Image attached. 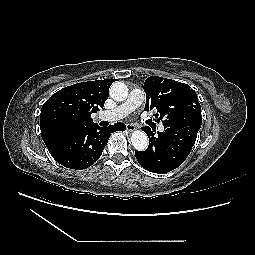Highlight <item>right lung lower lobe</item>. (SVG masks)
Returning <instances> with one entry per match:
<instances>
[{"instance_id": "right-lung-lower-lobe-1", "label": "right lung lower lobe", "mask_w": 255, "mask_h": 255, "mask_svg": "<svg viewBox=\"0 0 255 255\" xmlns=\"http://www.w3.org/2000/svg\"><path fill=\"white\" fill-rule=\"evenodd\" d=\"M125 129L124 123H116L107 128L93 124L58 137L47 148L59 164L81 170L90 167L99 159L111 133Z\"/></svg>"}]
</instances>
